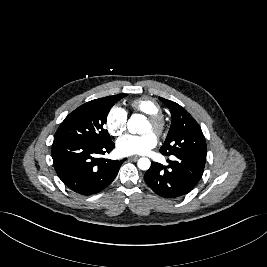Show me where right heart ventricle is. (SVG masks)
Masks as SVG:
<instances>
[{"instance_id": "right-heart-ventricle-1", "label": "right heart ventricle", "mask_w": 267, "mask_h": 267, "mask_svg": "<svg viewBox=\"0 0 267 267\" xmlns=\"http://www.w3.org/2000/svg\"><path fill=\"white\" fill-rule=\"evenodd\" d=\"M131 108L134 111L143 113L147 116L161 113L160 105L152 98L141 97L131 102Z\"/></svg>"}]
</instances>
